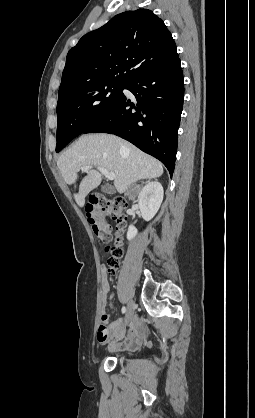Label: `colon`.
Here are the masks:
<instances>
[{
    "label": "colon",
    "mask_w": 255,
    "mask_h": 418,
    "mask_svg": "<svg viewBox=\"0 0 255 418\" xmlns=\"http://www.w3.org/2000/svg\"><path fill=\"white\" fill-rule=\"evenodd\" d=\"M126 206L127 202L122 197L108 199L102 196H94L87 207V217L93 232L109 254L107 258V272L110 275L115 274L123 255V247L119 235L123 231L126 220L124 214ZM108 216L112 217L117 223L115 239H113V228L106 220Z\"/></svg>",
    "instance_id": "5ec220e1"
}]
</instances>
